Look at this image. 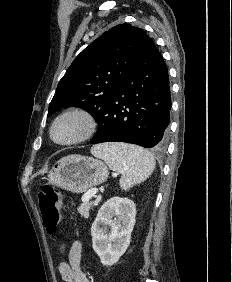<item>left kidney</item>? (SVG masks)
<instances>
[{"label":"left kidney","instance_id":"5707ae66","mask_svg":"<svg viewBox=\"0 0 232 282\" xmlns=\"http://www.w3.org/2000/svg\"><path fill=\"white\" fill-rule=\"evenodd\" d=\"M113 216H116L114 220ZM135 216L136 206L128 198L112 197L99 209L91 234L92 247L103 265H114L127 250Z\"/></svg>","mask_w":232,"mask_h":282}]
</instances>
